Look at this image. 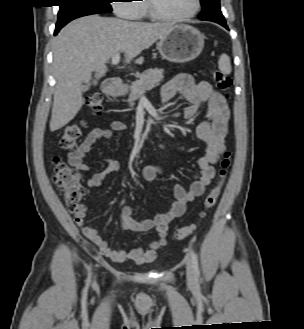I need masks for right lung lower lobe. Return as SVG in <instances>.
Returning <instances> with one entry per match:
<instances>
[{"mask_svg":"<svg viewBox=\"0 0 304 329\" xmlns=\"http://www.w3.org/2000/svg\"><path fill=\"white\" fill-rule=\"evenodd\" d=\"M64 25H61V26H56V29H55V32H54V35H56L60 29L63 27Z\"/></svg>","mask_w":304,"mask_h":329,"instance_id":"98d812e1","label":"right lung lower lobe"}]
</instances>
